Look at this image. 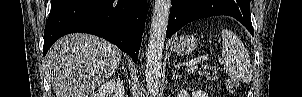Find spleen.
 I'll list each match as a JSON object with an SVG mask.
<instances>
[{"label":"spleen","mask_w":302,"mask_h":97,"mask_svg":"<svg viewBox=\"0 0 302 97\" xmlns=\"http://www.w3.org/2000/svg\"><path fill=\"white\" fill-rule=\"evenodd\" d=\"M222 57L225 60L224 70L232 78L249 83L252 68L248 52L239 37L228 29H222Z\"/></svg>","instance_id":"obj_1"}]
</instances>
